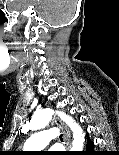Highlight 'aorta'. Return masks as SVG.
<instances>
[{
  "mask_svg": "<svg viewBox=\"0 0 119 155\" xmlns=\"http://www.w3.org/2000/svg\"><path fill=\"white\" fill-rule=\"evenodd\" d=\"M54 114L53 110L45 109L35 113L30 121L31 130H40L47 126ZM59 117L71 128L73 131V142L71 151H82L84 146V134L81 127L73 120L72 117L63 112H57Z\"/></svg>",
  "mask_w": 119,
  "mask_h": 155,
  "instance_id": "obj_1",
  "label": "aorta"
}]
</instances>
